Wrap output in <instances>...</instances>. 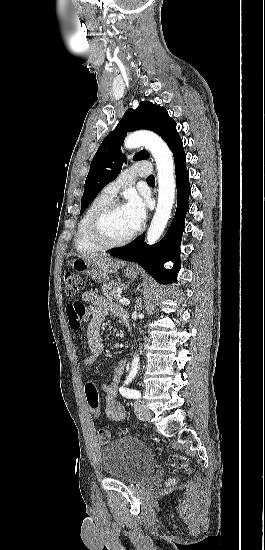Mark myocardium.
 <instances>
[{"label":"myocardium","instance_id":"1","mask_svg":"<svg viewBox=\"0 0 265 550\" xmlns=\"http://www.w3.org/2000/svg\"><path fill=\"white\" fill-rule=\"evenodd\" d=\"M123 207V205L118 202L111 200L110 202L104 204L99 209H97L93 215L90 217L87 224V235L89 239L94 242L96 245L102 248H114L126 245L129 243L134 236L136 235V230L130 233L128 236L119 239L111 240L107 237L104 230V222L106 218L116 209Z\"/></svg>","mask_w":265,"mask_h":550}]
</instances>
